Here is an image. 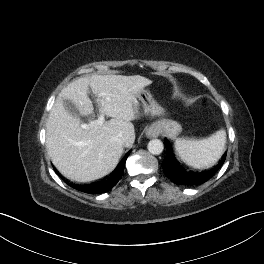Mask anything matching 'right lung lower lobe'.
Listing matches in <instances>:
<instances>
[{
    "label": "right lung lower lobe",
    "instance_id": "1",
    "mask_svg": "<svg viewBox=\"0 0 264 264\" xmlns=\"http://www.w3.org/2000/svg\"><path fill=\"white\" fill-rule=\"evenodd\" d=\"M127 156L124 158L121 164L113 171V173L108 179H104L92 185H73V188L85 193H105L109 191L116 185V183L122 177Z\"/></svg>",
    "mask_w": 264,
    "mask_h": 264
}]
</instances>
